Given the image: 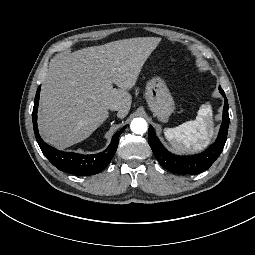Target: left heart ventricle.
I'll use <instances>...</instances> for the list:
<instances>
[{
    "instance_id": "obj_1",
    "label": "left heart ventricle",
    "mask_w": 255,
    "mask_h": 255,
    "mask_svg": "<svg viewBox=\"0 0 255 255\" xmlns=\"http://www.w3.org/2000/svg\"><path fill=\"white\" fill-rule=\"evenodd\" d=\"M112 93L120 100H126V102H128L129 98L132 96V88L130 90L117 88L112 91ZM150 102L154 110L151 113H148L143 109L139 110L135 119V124L157 132L164 129L163 122L165 121L170 108L165 104L163 97L157 90L153 91L150 95ZM121 112H123V110ZM164 132L166 134V130H164Z\"/></svg>"
}]
</instances>
